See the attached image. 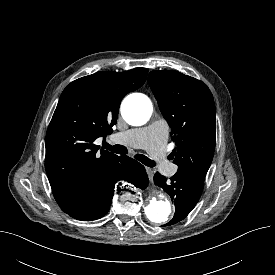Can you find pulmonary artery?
<instances>
[{"instance_id": "pulmonary-artery-1", "label": "pulmonary artery", "mask_w": 275, "mask_h": 275, "mask_svg": "<svg viewBox=\"0 0 275 275\" xmlns=\"http://www.w3.org/2000/svg\"><path fill=\"white\" fill-rule=\"evenodd\" d=\"M166 138L167 128L160 122L143 128L119 132L114 136V139L119 143L146 149L161 170L171 176L176 173L177 167L166 159L164 150Z\"/></svg>"}]
</instances>
